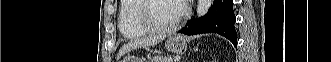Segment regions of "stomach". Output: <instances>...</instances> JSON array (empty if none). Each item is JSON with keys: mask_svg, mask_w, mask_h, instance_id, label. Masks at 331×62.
I'll list each match as a JSON object with an SVG mask.
<instances>
[{"mask_svg": "<svg viewBox=\"0 0 331 62\" xmlns=\"http://www.w3.org/2000/svg\"><path fill=\"white\" fill-rule=\"evenodd\" d=\"M165 46L168 51L181 54L187 50L188 39L181 35L173 34L168 38V40L165 43ZM121 62H142V61L136 58H127Z\"/></svg>", "mask_w": 331, "mask_h": 62, "instance_id": "0dacf381", "label": "stomach"}]
</instances>
